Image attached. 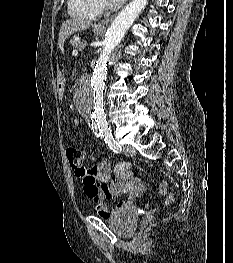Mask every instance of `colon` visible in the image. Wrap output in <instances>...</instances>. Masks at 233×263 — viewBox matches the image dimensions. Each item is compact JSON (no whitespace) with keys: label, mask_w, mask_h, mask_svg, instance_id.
Segmentation results:
<instances>
[{"label":"colon","mask_w":233,"mask_h":263,"mask_svg":"<svg viewBox=\"0 0 233 263\" xmlns=\"http://www.w3.org/2000/svg\"><path fill=\"white\" fill-rule=\"evenodd\" d=\"M65 153L68 159L70 166L75 170L78 176H85L89 173V170L84 166L85 154L84 152L72 145H69L65 149ZM118 170H123V166L119 165ZM168 187L167 182L164 181L159 186V193L165 195L167 193ZM174 195L170 194L167 199V203L172 202Z\"/></svg>","instance_id":"1"}]
</instances>
